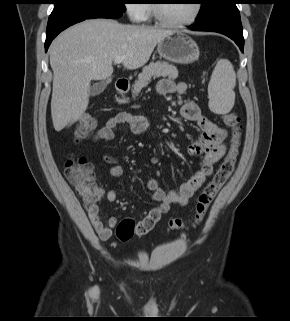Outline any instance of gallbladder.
Returning <instances> with one entry per match:
<instances>
[{"instance_id": "obj_1", "label": "gallbladder", "mask_w": 290, "mask_h": 321, "mask_svg": "<svg viewBox=\"0 0 290 321\" xmlns=\"http://www.w3.org/2000/svg\"><path fill=\"white\" fill-rule=\"evenodd\" d=\"M107 84V81H100L98 83L93 84L90 88V95L97 96L101 94L107 87Z\"/></svg>"}]
</instances>
